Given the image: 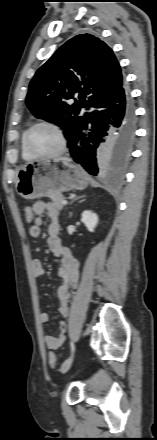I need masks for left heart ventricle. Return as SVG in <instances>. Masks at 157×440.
I'll return each instance as SVG.
<instances>
[{"label":"left heart ventricle","mask_w":157,"mask_h":440,"mask_svg":"<svg viewBox=\"0 0 157 440\" xmlns=\"http://www.w3.org/2000/svg\"><path fill=\"white\" fill-rule=\"evenodd\" d=\"M30 145L37 153L48 154L59 148L60 139L52 128L39 126L31 132Z\"/></svg>","instance_id":"left-heart-ventricle-1"}]
</instances>
